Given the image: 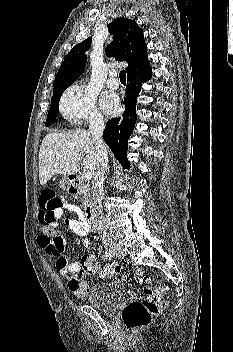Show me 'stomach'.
Returning <instances> with one entry per match:
<instances>
[{
    "label": "stomach",
    "instance_id": "1",
    "mask_svg": "<svg viewBox=\"0 0 233 352\" xmlns=\"http://www.w3.org/2000/svg\"><path fill=\"white\" fill-rule=\"evenodd\" d=\"M60 187L65 189V190L69 189V181L67 180V178H62L60 180Z\"/></svg>",
    "mask_w": 233,
    "mask_h": 352
}]
</instances>
